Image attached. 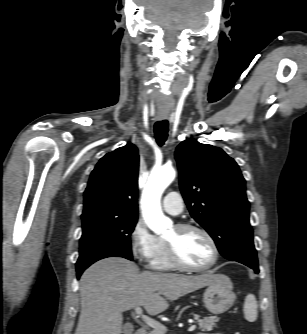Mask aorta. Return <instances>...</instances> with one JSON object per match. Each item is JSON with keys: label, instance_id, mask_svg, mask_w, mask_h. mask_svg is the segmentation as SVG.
I'll return each mask as SVG.
<instances>
[{"label": "aorta", "instance_id": "762f6f07", "mask_svg": "<svg viewBox=\"0 0 307 334\" xmlns=\"http://www.w3.org/2000/svg\"><path fill=\"white\" fill-rule=\"evenodd\" d=\"M172 167L154 169L148 179L141 197L142 216L147 226L157 235L166 234L172 228V221L161 209V196L175 179Z\"/></svg>", "mask_w": 307, "mask_h": 334}]
</instances>
